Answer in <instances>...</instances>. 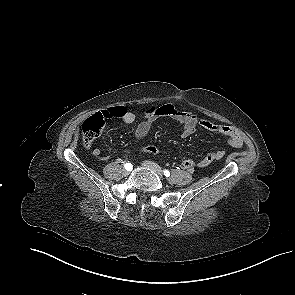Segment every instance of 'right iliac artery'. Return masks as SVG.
I'll return each instance as SVG.
<instances>
[{
    "mask_svg": "<svg viewBox=\"0 0 295 295\" xmlns=\"http://www.w3.org/2000/svg\"><path fill=\"white\" fill-rule=\"evenodd\" d=\"M124 167H125V169L128 170V171H131V170L133 169V166H132L131 163H125V164H124Z\"/></svg>",
    "mask_w": 295,
    "mask_h": 295,
    "instance_id": "right-iliac-artery-1",
    "label": "right iliac artery"
}]
</instances>
